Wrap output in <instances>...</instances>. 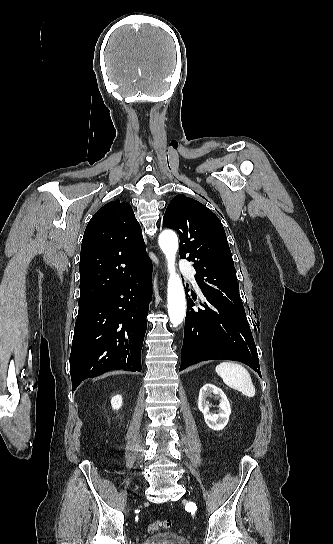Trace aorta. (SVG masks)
<instances>
[{"mask_svg":"<svg viewBox=\"0 0 333 544\" xmlns=\"http://www.w3.org/2000/svg\"><path fill=\"white\" fill-rule=\"evenodd\" d=\"M159 246L168 262V314L174 327L181 324L186 314L185 292L181 277L175 270V257L178 250V238L171 230L159 235Z\"/></svg>","mask_w":333,"mask_h":544,"instance_id":"1","label":"aorta"}]
</instances>
